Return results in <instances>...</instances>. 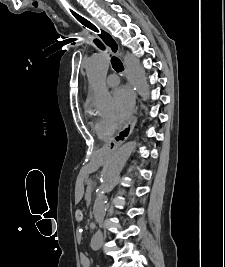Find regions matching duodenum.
Segmentation results:
<instances>
[{
	"mask_svg": "<svg viewBox=\"0 0 225 267\" xmlns=\"http://www.w3.org/2000/svg\"><path fill=\"white\" fill-rule=\"evenodd\" d=\"M90 226L93 227V228H95L96 227V224L95 223H91Z\"/></svg>",
	"mask_w": 225,
	"mask_h": 267,
	"instance_id": "410a0bca",
	"label": "duodenum"
}]
</instances>
